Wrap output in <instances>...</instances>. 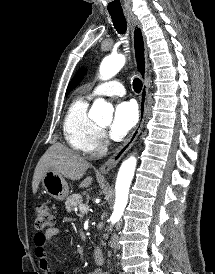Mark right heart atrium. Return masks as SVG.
<instances>
[{"label": "right heart atrium", "instance_id": "d8ad5b80", "mask_svg": "<svg viewBox=\"0 0 215 274\" xmlns=\"http://www.w3.org/2000/svg\"><path fill=\"white\" fill-rule=\"evenodd\" d=\"M107 145L108 141L106 133L102 129H98L92 140L91 152L95 154H101L106 150Z\"/></svg>", "mask_w": 215, "mask_h": 274}]
</instances>
